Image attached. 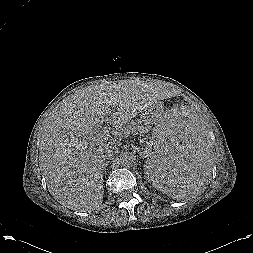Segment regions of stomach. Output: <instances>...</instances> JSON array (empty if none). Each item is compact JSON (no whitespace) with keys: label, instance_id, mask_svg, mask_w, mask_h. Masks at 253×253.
Masks as SVG:
<instances>
[{"label":"stomach","instance_id":"obj_1","mask_svg":"<svg viewBox=\"0 0 253 253\" xmlns=\"http://www.w3.org/2000/svg\"><path fill=\"white\" fill-rule=\"evenodd\" d=\"M140 119L145 123H155L163 119L161 110L157 106L151 105L140 112Z\"/></svg>","mask_w":253,"mask_h":253}]
</instances>
